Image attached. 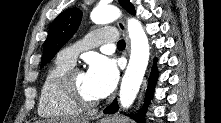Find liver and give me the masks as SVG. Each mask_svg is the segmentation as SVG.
Wrapping results in <instances>:
<instances>
[{
	"mask_svg": "<svg viewBox=\"0 0 221 123\" xmlns=\"http://www.w3.org/2000/svg\"><path fill=\"white\" fill-rule=\"evenodd\" d=\"M36 123H44V122H36ZM71 123H86V122L83 120L75 119V120H72Z\"/></svg>",
	"mask_w": 221,
	"mask_h": 123,
	"instance_id": "1",
	"label": "liver"
}]
</instances>
